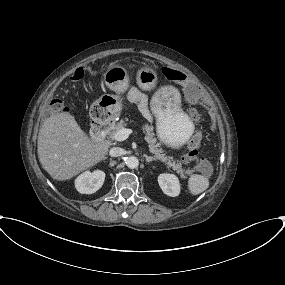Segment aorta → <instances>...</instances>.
Segmentation results:
<instances>
[{
	"instance_id": "1",
	"label": "aorta",
	"mask_w": 285,
	"mask_h": 285,
	"mask_svg": "<svg viewBox=\"0 0 285 285\" xmlns=\"http://www.w3.org/2000/svg\"><path fill=\"white\" fill-rule=\"evenodd\" d=\"M125 163H126V165H127L128 168H130V169H135V168H137L138 165H139V160H138V158L135 157V156H130V157H127Z\"/></svg>"
}]
</instances>
